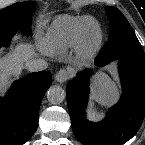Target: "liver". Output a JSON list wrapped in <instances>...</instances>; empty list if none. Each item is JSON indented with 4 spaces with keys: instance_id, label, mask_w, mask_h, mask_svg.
Here are the masks:
<instances>
[{
    "instance_id": "liver-1",
    "label": "liver",
    "mask_w": 145,
    "mask_h": 145,
    "mask_svg": "<svg viewBox=\"0 0 145 145\" xmlns=\"http://www.w3.org/2000/svg\"><path fill=\"white\" fill-rule=\"evenodd\" d=\"M34 55L35 53L29 45L18 44L10 53L0 58V92L6 81V74L1 73V68H4L6 71L20 74L23 64L32 59Z\"/></svg>"
}]
</instances>
